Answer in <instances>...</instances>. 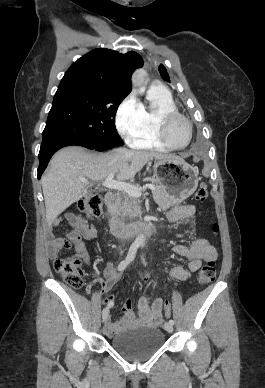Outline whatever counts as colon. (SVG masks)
Returning a JSON list of instances; mask_svg holds the SVG:
<instances>
[{
	"mask_svg": "<svg viewBox=\"0 0 265 388\" xmlns=\"http://www.w3.org/2000/svg\"><path fill=\"white\" fill-rule=\"evenodd\" d=\"M207 198V187L200 184L196 191V199L200 202ZM103 197L101 195H92L82 199L78 204L80 212L87 217L95 218L102 213ZM213 230L218 231V225H213ZM54 269L58 272L64 281L72 288L79 289L83 286V271L78 257L57 258L54 261ZM216 265L214 260L207 261L199 270L197 281L201 285L208 284L215 279ZM164 315L171 316V306L167 301H163Z\"/></svg>",
	"mask_w": 265,
	"mask_h": 388,
	"instance_id": "1",
	"label": "colon"
}]
</instances>
